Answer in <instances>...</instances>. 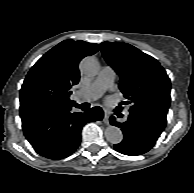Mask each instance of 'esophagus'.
I'll use <instances>...</instances> for the list:
<instances>
[{"label":"esophagus","instance_id":"1","mask_svg":"<svg viewBox=\"0 0 194 193\" xmlns=\"http://www.w3.org/2000/svg\"><path fill=\"white\" fill-rule=\"evenodd\" d=\"M103 121L105 123H109V113L107 111L104 112V118Z\"/></svg>","mask_w":194,"mask_h":193}]
</instances>
